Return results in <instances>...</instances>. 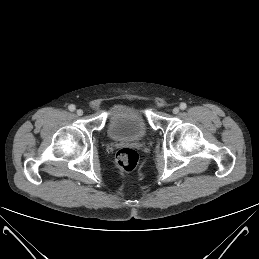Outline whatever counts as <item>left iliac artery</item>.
Listing matches in <instances>:
<instances>
[{
    "mask_svg": "<svg viewBox=\"0 0 259 259\" xmlns=\"http://www.w3.org/2000/svg\"><path fill=\"white\" fill-rule=\"evenodd\" d=\"M186 108H187L186 103L183 102V103L180 104V109L181 110H185Z\"/></svg>",
    "mask_w": 259,
    "mask_h": 259,
    "instance_id": "left-iliac-artery-1",
    "label": "left iliac artery"
}]
</instances>
